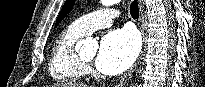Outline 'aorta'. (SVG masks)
<instances>
[{"instance_id": "obj_1", "label": "aorta", "mask_w": 205, "mask_h": 87, "mask_svg": "<svg viewBox=\"0 0 205 87\" xmlns=\"http://www.w3.org/2000/svg\"><path fill=\"white\" fill-rule=\"evenodd\" d=\"M118 2H119V0H101V3L104 6H112V5H114V4L118 3ZM79 45L82 48L89 49V48L94 46V41L92 39L81 40L79 42Z\"/></svg>"}]
</instances>
